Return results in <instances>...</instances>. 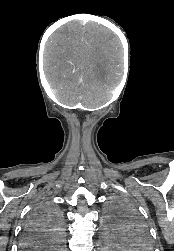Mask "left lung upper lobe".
<instances>
[{"label":"left lung upper lobe","mask_w":174,"mask_h":251,"mask_svg":"<svg viewBox=\"0 0 174 251\" xmlns=\"http://www.w3.org/2000/svg\"><path fill=\"white\" fill-rule=\"evenodd\" d=\"M106 215L109 227L123 234L134 249L151 251L152 245L148 229L130 204L119 197L112 198Z\"/></svg>","instance_id":"1"}]
</instances>
